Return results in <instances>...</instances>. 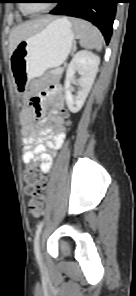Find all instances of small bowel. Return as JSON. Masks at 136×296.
<instances>
[{
    "label": "small bowel",
    "mask_w": 136,
    "mask_h": 296,
    "mask_svg": "<svg viewBox=\"0 0 136 296\" xmlns=\"http://www.w3.org/2000/svg\"><path fill=\"white\" fill-rule=\"evenodd\" d=\"M24 101L26 104L19 116L24 142L23 162L32 163L41 172L48 173L65 138L62 87L51 85L31 100L25 96ZM45 110H48L47 115H44Z\"/></svg>",
    "instance_id": "c3829d8e"
}]
</instances>
